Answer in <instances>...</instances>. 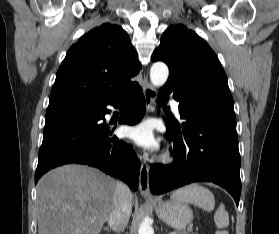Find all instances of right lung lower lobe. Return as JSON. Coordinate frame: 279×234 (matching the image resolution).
I'll return each mask as SVG.
<instances>
[{"mask_svg": "<svg viewBox=\"0 0 279 234\" xmlns=\"http://www.w3.org/2000/svg\"><path fill=\"white\" fill-rule=\"evenodd\" d=\"M122 109L120 123L134 125L145 114V98L138 83H134L109 103L96 107L81 117L52 121L45 124L43 142L35 173V183L48 170L69 163L97 167L126 182L133 191L139 183L140 162L132 147L112 135L105 122L106 108Z\"/></svg>", "mask_w": 279, "mask_h": 234, "instance_id": "obj_1", "label": "right lung lower lobe"}]
</instances>
